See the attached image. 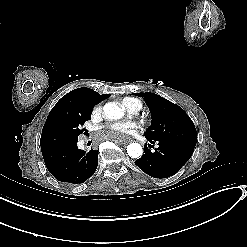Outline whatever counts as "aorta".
I'll return each instance as SVG.
<instances>
[{"instance_id": "1", "label": "aorta", "mask_w": 247, "mask_h": 247, "mask_svg": "<svg viewBox=\"0 0 247 247\" xmlns=\"http://www.w3.org/2000/svg\"><path fill=\"white\" fill-rule=\"evenodd\" d=\"M103 113L108 119H119L124 115V108L116 103L109 102L103 107ZM127 153L131 158H140L143 154V149L138 143H131L127 146Z\"/></svg>"}]
</instances>
